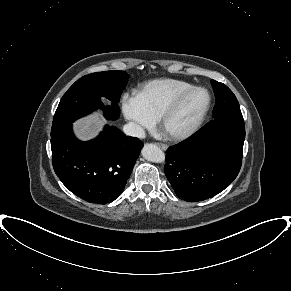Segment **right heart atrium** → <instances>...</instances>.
Returning <instances> with one entry per match:
<instances>
[{
    "mask_svg": "<svg viewBox=\"0 0 291 291\" xmlns=\"http://www.w3.org/2000/svg\"><path fill=\"white\" fill-rule=\"evenodd\" d=\"M121 104L124 117L131 122L137 135L154 126L155 119L143 108L136 96L125 94Z\"/></svg>",
    "mask_w": 291,
    "mask_h": 291,
    "instance_id": "1",
    "label": "right heart atrium"
}]
</instances>
